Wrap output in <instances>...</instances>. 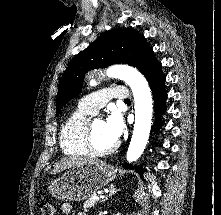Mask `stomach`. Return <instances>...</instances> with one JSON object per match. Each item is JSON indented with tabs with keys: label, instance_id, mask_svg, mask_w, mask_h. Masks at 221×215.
Wrapping results in <instances>:
<instances>
[{
	"label": "stomach",
	"instance_id": "0dacf381",
	"mask_svg": "<svg viewBox=\"0 0 221 215\" xmlns=\"http://www.w3.org/2000/svg\"><path fill=\"white\" fill-rule=\"evenodd\" d=\"M116 178V169L100 160L74 167L49 185L50 194L59 200L81 201L95 195Z\"/></svg>",
	"mask_w": 221,
	"mask_h": 215
}]
</instances>
